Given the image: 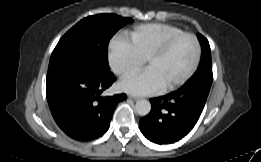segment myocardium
Segmentation results:
<instances>
[{
  "mask_svg": "<svg viewBox=\"0 0 261 162\" xmlns=\"http://www.w3.org/2000/svg\"><path fill=\"white\" fill-rule=\"evenodd\" d=\"M183 37H190L193 40V42L195 44V58H194L191 68L188 70V72L184 76H182L177 81H175L167 86H164L162 88V90L165 92L172 91V90L179 88L184 83H186L197 71L200 60H201V45H200V42H199L197 36L195 34L189 33V32H182L177 35H174V36L168 38L167 40H165L162 44H160L153 51H151L148 54V56L145 58V63L147 65L152 59L158 58V57L164 55L172 47V45L174 43H176L178 40H180Z\"/></svg>",
  "mask_w": 261,
  "mask_h": 162,
  "instance_id": "myocardium-1",
  "label": "myocardium"
}]
</instances>
